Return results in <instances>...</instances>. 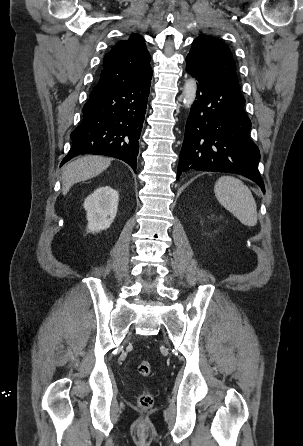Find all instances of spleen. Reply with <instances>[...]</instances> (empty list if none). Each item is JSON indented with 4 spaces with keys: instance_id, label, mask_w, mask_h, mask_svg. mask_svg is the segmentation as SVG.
I'll list each match as a JSON object with an SVG mask.
<instances>
[{
    "instance_id": "spleen-1",
    "label": "spleen",
    "mask_w": 303,
    "mask_h": 446,
    "mask_svg": "<svg viewBox=\"0 0 303 446\" xmlns=\"http://www.w3.org/2000/svg\"><path fill=\"white\" fill-rule=\"evenodd\" d=\"M217 200L242 224L255 226L257 206L250 189L233 176L220 177L214 186Z\"/></svg>"
}]
</instances>
